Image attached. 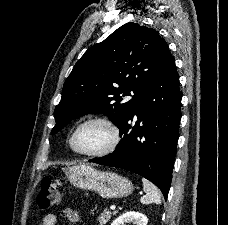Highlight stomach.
<instances>
[{
  "label": "stomach",
  "instance_id": "stomach-1",
  "mask_svg": "<svg viewBox=\"0 0 228 225\" xmlns=\"http://www.w3.org/2000/svg\"><path fill=\"white\" fill-rule=\"evenodd\" d=\"M69 179L74 187L95 191L103 199H122L131 195L134 189L129 179L110 171H97L85 163L71 167Z\"/></svg>",
  "mask_w": 228,
  "mask_h": 225
}]
</instances>
